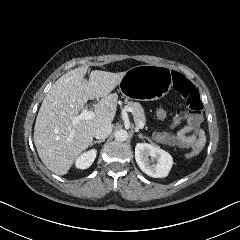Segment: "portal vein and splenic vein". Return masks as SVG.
<instances>
[{"mask_svg": "<svg viewBox=\"0 0 240 240\" xmlns=\"http://www.w3.org/2000/svg\"><path fill=\"white\" fill-rule=\"evenodd\" d=\"M94 117H95V113L93 111H90V110H87V109H83L82 112L79 115L73 116L71 118V121H72V124L77 125L82 120H91ZM137 123L139 125L138 126L139 128L143 129L146 126L141 120H139Z\"/></svg>", "mask_w": 240, "mask_h": 240, "instance_id": "1", "label": "portal vein and splenic vein"}]
</instances>
